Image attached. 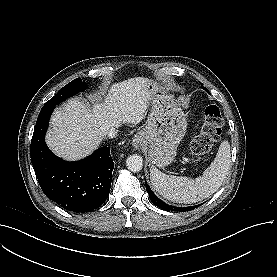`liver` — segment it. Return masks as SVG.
Masks as SVG:
<instances>
[{
	"label": "liver",
	"mask_w": 277,
	"mask_h": 277,
	"mask_svg": "<svg viewBox=\"0 0 277 277\" xmlns=\"http://www.w3.org/2000/svg\"><path fill=\"white\" fill-rule=\"evenodd\" d=\"M148 82L137 77L113 84L106 101L93 108L79 99L57 108L45 137L50 150L67 160L81 159L91 154L112 128L141 122L154 95Z\"/></svg>",
	"instance_id": "liver-1"
}]
</instances>
